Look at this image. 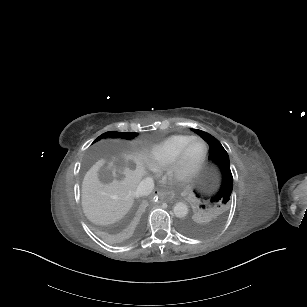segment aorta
Here are the masks:
<instances>
[{"label":"aorta","mask_w":307,"mask_h":307,"mask_svg":"<svg viewBox=\"0 0 307 307\" xmlns=\"http://www.w3.org/2000/svg\"><path fill=\"white\" fill-rule=\"evenodd\" d=\"M176 217L183 218L188 214V206L183 202H178L173 208Z\"/></svg>","instance_id":"aorta-1"}]
</instances>
